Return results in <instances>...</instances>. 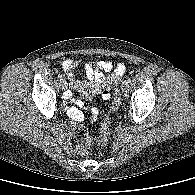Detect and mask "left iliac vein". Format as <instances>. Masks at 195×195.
<instances>
[{"label":"left iliac vein","mask_w":195,"mask_h":195,"mask_svg":"<svg viewBox=\"0 0 195 195\" xmlns=\"http://www.w3.org/2000/svg\"><path fill=\"white\" fill-rule=\"evenodd\" d=\"M121 89L124 93H126L129 90V83L127 81H124L121 85Z\"/></svg>","instance_id":"4c4485c4"}]
</instances>
